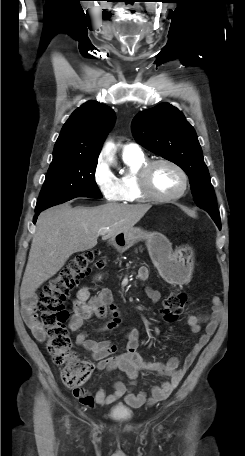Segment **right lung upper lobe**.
<instances>
[{
	"mask_svg": "<svg viewBox=\"0 0 245 456\" xmlns=\"http://www.w3.org/2000/svg\"><path fill=\"white\" fill-rule=\"evenodd\" d=\"M115 122L110 107L91 100L76 109L55 143L52 163L71 158H98L103 141Z\"/></svg>",
	"mask_w": 245,
	"mask_h": 456,
	"instance_id": "cb5924a9",
	"label": "right lung upper lobe"
}]
</instances>
